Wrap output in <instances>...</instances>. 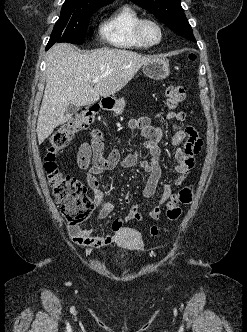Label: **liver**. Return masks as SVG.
<instances>
[{
  "label": "liver",
  "instance_id": "liver-1",
  "mask_svg": "<svg viewBox=\"0 0 247 332\" xmlns=\"http://www.w3.org/2000/svg\"><path fill=\"white\" fill-rule=\"evenodd\" d=\"M154 58L109 48L79 53L68 43L54 45L46 60V88L36 128L39 144L71 118L70 104L91 105L100 96L115 94ZM95 78L99 81L94 84Z\"/></svg>",
  "mask_w": 247,
  "mask_h": 332
}]
</instances>
